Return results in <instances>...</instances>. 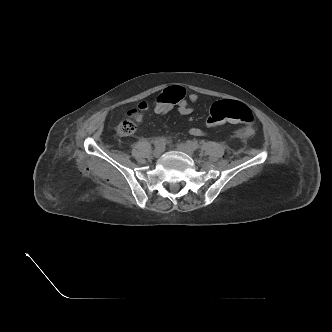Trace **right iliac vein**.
Returning <instances> with one entry per match:
<instances>
[{
  "instance_id": "63e3f726",
  "label": "right iliac vein",
  "mask_w": 332,
  "mask_h": 332,
  "mask_svg": "<svg viewBox=\"0 0 332 332\" xmlns=\"http://www.w3.org/2000/svg\"><path fill=\"white\" fill-rule=\"evenodd\" d=\"M162 153H163V147H156L155 148V150H154V152H153V155L156 157V158H158V157H160L161 155H162Z\"/></svg>"
}]
</instances>
